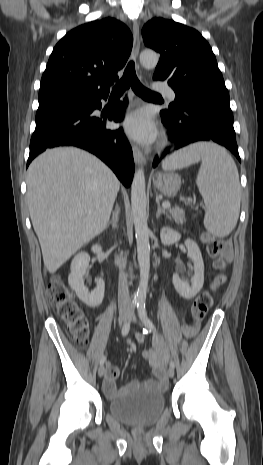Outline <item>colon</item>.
<instances>
[{
    "mask_svg": "<svg viewBox=\"0 0 263 465\" xmlns=\"http://www.w3.org/2000/svg\"><path fill=\"white\" fill-rule=\"evenodd\" d=\"M202 240L206 245L208 254L214 259V268L218 270L220 274L216 276L212 282L211 291L200 293L192 304L190 312L191 319L194 323L190 328L192 332L196 329V324L205 317L212 306V292L220 288L226 281V277L223 273L226 268V262L223 257V243L208 234L203 235ZM48 294L52 305L66 324L72 338L79 342L85 341L89 333L88 320L60 277L54 276L51 278L48 285Z\"/></svg>",
    "mask_w": 263,
    "mask_h": 465,
    "instance_id": "obj_1",
    "label": "colon"
}]
</instances>
